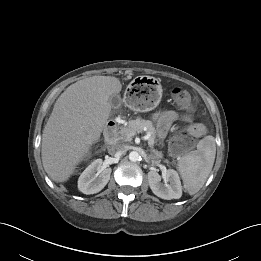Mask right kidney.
Segmentation results:
<instances>
[{"instance_id": "right-kidney-1", "label": "right kidney", "mask_w": 261, "mask_h": 261, "mask_svg": "<svg viewBox=\"0 0 261 261\" xmlns=\"http://www.w3.org/2000/svg\"><path fill=\"white\" fill-rule=\"evenodd\" d=\"M111 168L103 165L102 159L94 160L80 175L78 189L84 194L100 192L110 180Z\"/></svg>"}]
</instances>
